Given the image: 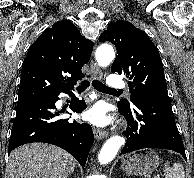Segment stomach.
Wrapping results in <instances>:
<instances>
[{
  "mask_svg": "<svg viewBox=\"0 0 194 178\" xmlns=\"http://www.w3.org/2000/svg\"><path fill=\"white\" fill-rule=\"evenodd\" d=\"M159 156L152 149L138 150L122 157L123 171L131 175H149L157 169Z\"/></svg>",
  "mask_w": 194,
  "mask_h": 178,
  "instance_id": "1",
  "label": "stomach"
}]
</instances>
